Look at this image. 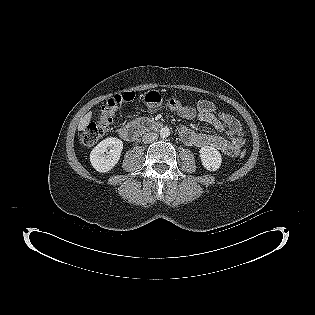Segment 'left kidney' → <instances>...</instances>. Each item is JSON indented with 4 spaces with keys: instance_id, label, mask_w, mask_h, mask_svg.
Listing matches in <instances>:
<instances>
[{
    "instance_id": "1",
    "label": "left kidney",
    "mask_w": 315,
    "mask_h": 315,
    "mask_svg": "<svg viewBox=\"0 0 315 315\" xmlns=\"http://www.w3.org/2000/svg\"><path fill=\"white\" fill-rule=\"evenodd\" d=\"M202 165L209 171H216L222 163L220 152L211 146H204L199 150Z\"/></svg>"
}]
</instances>
